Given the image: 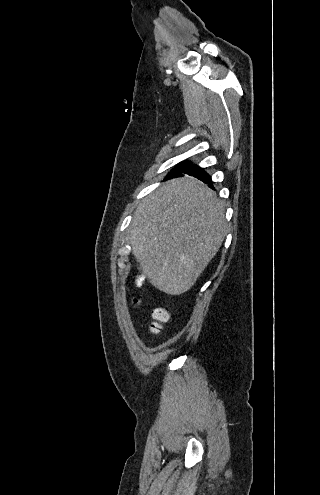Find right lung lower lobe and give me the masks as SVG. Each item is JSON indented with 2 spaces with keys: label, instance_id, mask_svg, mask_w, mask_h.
<instances>
[{
  "label": "right lung lower lobe",
  "instance_id": "obj_1",
  "mask_svg": "<svg viewBox=\"0 0 320 495\" xmlns=\"http://www.w3.org/2000/svg\"><path fill=\"white\" fill-rule=\"evenodd\" d=\"M182 173H186L188 175L194 176L204 183H209V187L213 188V184L211 183V177L205 172L204 169L200 168L197 165H193L192 163H188L182 170L179 172L168 176L169 178L181 176Z\"/></svg>",
  "mask_w": 320,
  "mask_h": 495
}]
</instances>
